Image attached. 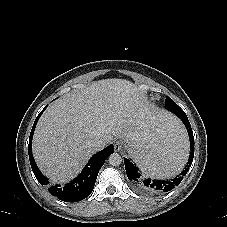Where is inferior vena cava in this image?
Returning <instances> with one entry per match:
<instances>
[{
    "instance_id": "inferior-vena-cava-1",
    "label": "inferior vena cava",
    "mask_w": 227,
    "mask_h": 227,
    "mask_svg": "<svg viewBox=\"0 0 227 227\" xmlns=\"http://www.w3.org/2000/svg\"><path fill=\"white\" fill-rule=\"evenodd\" d=\"M106 141L103 138H94L89 141L88 146L94 151H99L106 146Z\"/></svg>"
}]
</instances>
